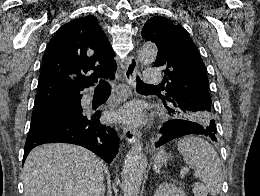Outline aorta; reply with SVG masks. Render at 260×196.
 <instances>
[{"mask_svg":"<svg viewBox=\"0 0 260 196\" xmlns=\"http://www.w3.org/2000/svg\"><path fill=\"white\" fill-rule=\"evenodd\" d=\"M157 53L158 49L154 44H144L138 53L139 61L144 65L153 63L157 58ZM147 165L143 146L140 142H136L127 153L122 170L124 196H138Z\"/></svg>","mask_w":260,"mask_h":196,"instance_id":"762f6f07","label":"aorta"}]
</instances>
